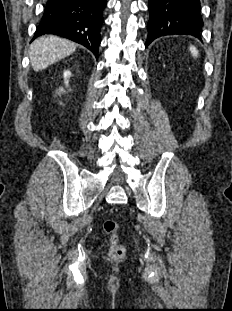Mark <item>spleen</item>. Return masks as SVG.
Masks as SVG:
<instances>
[{"label":"spleen","mask_w":232,"mask_h":311,"mask_svg":"<svg viewBox=\"0 0 232 311\" xmlns=\"http://www.w3.org/2000/svg\"><path fill=\"white\" fill-rule=\"evenodd\" d=\"M189 50L193 57L197 58L199 56V51L195 46H190Z\"/></svg>","instance_id":"1"}]
</instances>
